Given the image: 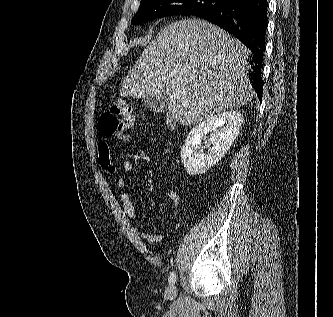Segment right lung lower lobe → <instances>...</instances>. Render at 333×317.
Instances as JSON below:
<instances>
[{
    "label": "right lung lower lobe",
    "instance_id": "1",
    "mask_svg": "<svg viewBox=\"0 0 333 317\" xmlns=\"http://www.w3.org/2000/svg\"><path fill=\"white\" fill-rule=\"evenodd\" d=\"M267 0H227L223 5L195 16L229 31L253 53L254 74L251 75L258 98L262 101L261 68L268 25Z\"/></svg>",
    "mask_w": 333,
    "mask_h": 317
}]
</instances>
